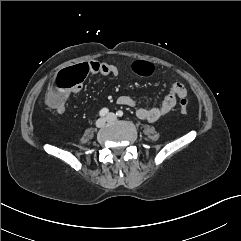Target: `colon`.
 Masks as SVG:
<instances>
[{"label":"colon","instance_id":"colon-1","mask_svg":"<svg viewBox=\"0 0 241 241\" xmlns=\"http://www.w3.org/2000/svg\"><path fill=\"white\" fill-rule=\"evenodd\" d=\"M135 73L139 75H150L153 67L146 62H135L132 66ZM91 74V67L86 61H78L69 68L59 71L51 80L47 92L46 101L49 105L59 104L64 101L68 91H72ZM179 110L181 114L188 113V100L184 91L180 92Z\"/></svg>","mask_w":241,"mask_h":241}]
</instances>
